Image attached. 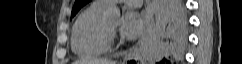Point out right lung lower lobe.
I'll use <instances>...</instances> for the list:
<instances>
[{
    "label": "right lung lower lobe",
    "mask_w": 242,
    "mask_h": 64,
    "mask_svg": "<svg viewBox=\"0 0 242 64\" xmlns=\"http://www.w3.org/2000/svg\"><path fill=\"white\" fill-rule=\"evenodd\" d=\"M171 1L173 2L169 3L166 11L171 23L169 26V30L173 42L175 44H179L185 32L183 9L181 8L180 3L176 2L177 0ZM165 61H167V63L169 62L168 60L163 58L160 63L163 64ZM128 64H135V61H130L128 62Z\"/></svg>",
    "instance_id": "obj_1"
}]
</instances>
